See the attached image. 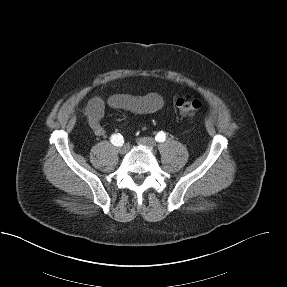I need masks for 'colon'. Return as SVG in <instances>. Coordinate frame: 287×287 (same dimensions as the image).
Instances as JSON below:
<instances>
[{
	"instance_id": "1",
	"label": "colon",
	"mask_w": 287,
	"mask_h": 287,
	"mask_svg": "<svg viewBox=\"0 0 287 287\" xmlns=\"http://www.w3.org/2000/svg\"><path fill=\"white\" fill-rule=\"evenodd\" d=\"M176 111L184 117H192L201 109L202 103L191 96H180L173 99Z\"/></svg>"
}]
</instances>
